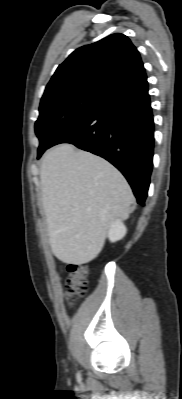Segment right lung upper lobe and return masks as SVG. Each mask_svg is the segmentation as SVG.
<instances>
[{
	"label": "right lung upper lobe",
	"instance_id": "right-lung-upper-lobe-1",
	"mask_svg": "<svg viewBox=\"0 0 182 399\" xmlns=\"http://www.w3.org/2000/svg\"><path fill=\"white\" fill-rule=\"evenodd\" d=\"M147 82L139 52L123 34L76 49L57 68L41 101L72 94L103 98Z\"/></svg>",
	"mask_w": 182,
	"mask_h": 399
}]
</instances>
